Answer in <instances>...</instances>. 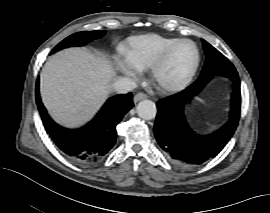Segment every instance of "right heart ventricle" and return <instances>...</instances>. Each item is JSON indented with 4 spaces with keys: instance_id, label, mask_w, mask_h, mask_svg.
<instances>
[{
    "instance_id": "e07e8e85",
    "label": "right heart ventricle",
    "mask_w": 270,
    "mask_h": 213,
    "mask_svg": "<svg viewBox=\"0 0 270 213\" xmlns=\"http://www.w3.org/2000/svg\"><path fill=\"white\" fill-rule=\"evenodd\" d=\"M177 38L146 34L133 37L123 50L126 64L134 70L148 69L156 58Z\"/></svg>"
}]
</instances>
